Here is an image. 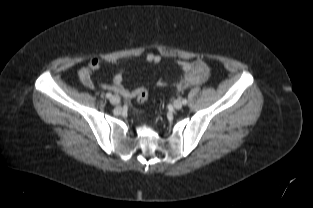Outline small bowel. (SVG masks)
<instances>
[{"mask_svg":"<svg viewBox=\"0 0 313 208\" xmlns=\"http://www.w3.org/2000/svg\"><path fill=\"white\" fill-rule=\"evenodd\" d=\"M145 60L148 63L158 64L161 62V57L154 53H148L145 56ZM101 61L99 59H92L88 65L79 70L78 76L80 82L88 89H93L94 84L92 80L93 74L101 67ZM184 76L182 80L177 84L179 90L186 89L192 85L204 83L209 75L210 70L207 64L202 60L195 61H179ZM160 86H164V82H159ZM101 87L105 90L116 92L126 99H132L137 96L140 88L128 89L123 84V71L119 70L113 77L111 83L102 82Z\"/></svg>","mask_w":313,"mask_h":208,"instance_id":"1","label":"small bowel"}]
</instances>
